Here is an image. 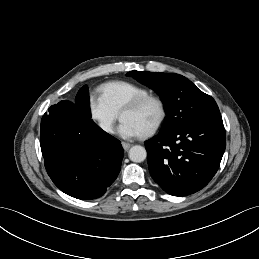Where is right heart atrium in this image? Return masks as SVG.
Instances as JSON below:
<instances>
[{
	"instance_id": "obj_1",
	"label": "right heart atrium",
	"mask_w": 259,
	"mask_h": 259,
	"mask_svg": "<svg viewBox=\"0 0 259 259\" xmlns=\"http://www.w3.org/2000/svg\"><path fill=\"white\" fill-rule=\"evenodd\" d=\"M88 110L91 119L96 123L100 131L104 134H111L117 120V113L102 98L95 94H90L88 99Z\"/></svg>"
}]
</instances>
